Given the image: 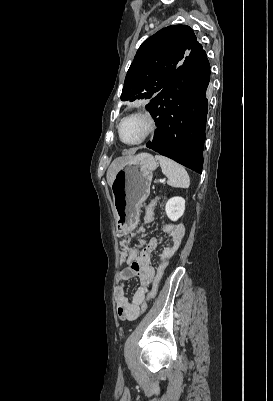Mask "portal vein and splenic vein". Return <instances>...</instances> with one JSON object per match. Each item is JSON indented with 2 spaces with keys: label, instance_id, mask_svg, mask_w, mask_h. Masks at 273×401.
<instances>
[{
  "label": "portal vein and splenic vein",
  "instance_id": "1",
  "mask_svg": "<svg viewBox=\"0 0 273 401\" xmlns=\"http://www.w3.org/2000/svg\"><path fill=\"white\" fill-rule=\"evenodd\" d=\"M161 182H165V178H160V181H158V184H161Z\"/></svg>",
  "mask_w": 273,
  "mask_h": 401
}]
</instances>
